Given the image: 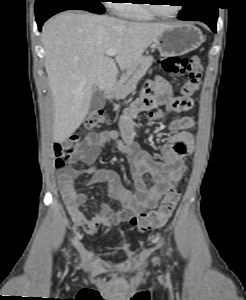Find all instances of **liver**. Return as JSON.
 Here are the masks:
<instances>
[{
  "instance_id": "obj_1",
  "label": "liver",
  "mask_w": 246,
  "mask_h": 300,
  "mask_svg": "<svg viewBox=\"0 0 246 300\" xmlns=\"http://www.w3.org/2000/svg\"><path fill=\"white\" fill-rule=\"evenodd\" d=\"M169 26L85 12H64L44 25L45 69L55 108L54 142L65 141L82 124L93 86L110 90L116 83L117 65L129 69ZM109 48L117 50L115 60L106 55Z\"/></svg>"
}]
</instances>
